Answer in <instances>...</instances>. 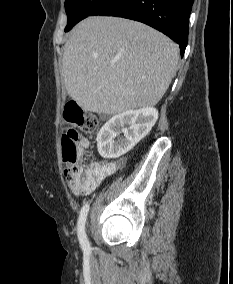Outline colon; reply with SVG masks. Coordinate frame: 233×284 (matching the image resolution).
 <instances>
[{"mask_svg":"<svg viewBox=\"0 0 233 284\" xmlns=\"http://www.w3.org/2000/svg\"><path fill=\"white\" fill-rule=\"evenodd\" d=\"M64 117L76 127L69 129L62 136V155L66 164L65 177L74 193H89L93 190L94 183L78 162L82 150L87 145V140L80 131L88 134L95 132L98 120L75 100L65 105Z\"/></svg>","mask_w":233,"mask_h":284,"instance_id":"1","label":"colon"}]
</instances>
